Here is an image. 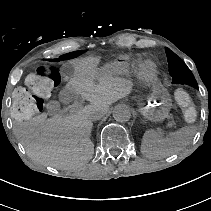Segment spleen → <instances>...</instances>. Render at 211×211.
Returning <instances> with one entry per match:
<instances>
[{
  "label": "spleen",
  "instance_id": "1",
  "mask_svg": "<svg viewBox=\"0 0 211 211\" xmlns=\"http://www.w3.org/2000/svg\"><path fill=\"white\" fill-rule=\"evenodd\" d=\"M195 132V126H184L162 137L155 130L149 129L142 136L140 151L151 159L167 157L190 144Z\"/></svg>",
  "mask_w": 211,
  "mask_h": 211
}]
</instances>
